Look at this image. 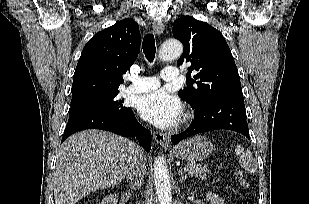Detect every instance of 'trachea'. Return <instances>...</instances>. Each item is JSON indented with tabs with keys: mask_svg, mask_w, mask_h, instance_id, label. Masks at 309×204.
<instances>
[{
	"mask_svg": "<svg viewBox=\"0 0 309 204\" xmlns=\"http://www.w3.org/2000/svg\"><path fill=\"white\" fill-rule=\"evenodd\" d=\"M143 52L149 62H153L156 53L155 39L153 34L145 35L142 43Z\"/></svg>",
	"mask_w": 309,
	"mask_h": 204,
	"instance_id": "obj_1",
	"label": "trachea"
}]
</instances>
